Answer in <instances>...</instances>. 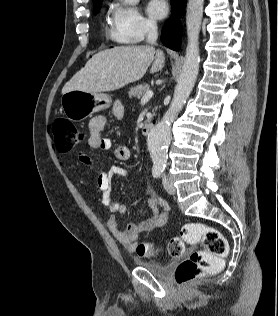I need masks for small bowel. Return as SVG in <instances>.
Returning <instances> with one entry per match:
<instances>
[{
	"mask_svg": "<svg viewBox=\"0 0 278 316\" xmlns=\"http://www.w3.org/2000/svg\"><path fill=\"white\" fill-rule=\"evenodd\" d=\"M113 115L117 120L124 117V106L120 101H115L112 106ZM107 127V118L103 115L94 116L89 122L88 147L92 150L107 151L111 149L110 139L103 136ZM114 156L120 161H127L131 157L130 149L125 145H119L114 150ZM82 163L92 169L98 170L96 181L102 195V204L107 208L110 215L106 226L116 240L129 252H135L138 248L140 234L163 228L168 219V205L153 190H148L147 204L152 210V216L139 222H129L123 229L117 224L116 214H124L127 206L114 200L111 196V182L114 176H126L128 171L119 165H113L108 171L99 170V161L90 153L82 151L79 153Z\"/></svg>",
	"mask_w": 278,
	"mask_h": 316,
	"instance_id": "obj_1",
	"label": "small bowel"
}]
</instances>
